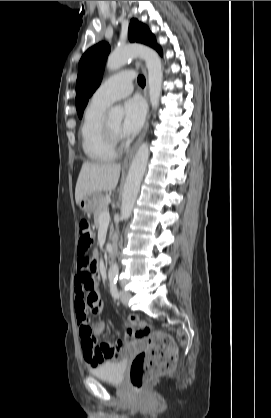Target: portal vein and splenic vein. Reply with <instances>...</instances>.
Listing matches in <instances>:
<instances>
[{"mask_svg":"<svg viewBox=\"0 0 271 418\" xmlns=\"http://www.w3.org/2000/svg\"><path fill=\"white\" fill-rule=\"evenodd\" d=\"M109 221H110V214H109V211L106 210L100 216V223H109Z\"/></svg>","mask_w":271,"mask_h":418,"instance_id":"obj_1","label":"portal vein and splenic vein"}]
</instances>
